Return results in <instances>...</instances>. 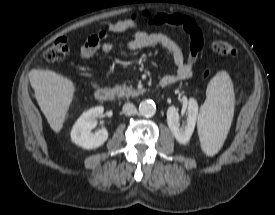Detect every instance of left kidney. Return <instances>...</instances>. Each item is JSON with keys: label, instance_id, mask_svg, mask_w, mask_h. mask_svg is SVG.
I'll return each instance as SVG.
<instances>
[{"label": "left kidney", "instance_id": "5707ae66", "mask_svg": "<svg viewBox=\"0 0 275 215\" xmlns=\"http://www.w3.org/2000/svg\"><path fill=\"white\" fill-rule=\"evenodd\" d=\"M198 116V104L193 98L188 102V117L184 125H180L178 110L175 106H170L167 110V123L176 140L185 144L190 140L194 131Z\"/></svg>", "mask_w": 275, "mask_h": 215}]
</instances>
